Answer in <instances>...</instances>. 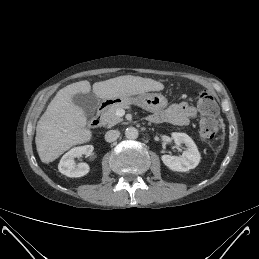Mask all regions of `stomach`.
<instances>
[{
    "mask_svg": "<svg viewBox=\"0 0 259 259\" xmlns=\"http://www.w3.org/2000/svg\"><path fill=\"white\" fill-rule=\"evenodd\" d=\"M108 106L136 104L150 112L163 110L167 106V99L160 93H141L137 96L127 95L105 99Z\"/></svg>",
    "mask_w": 259,
    "mask_h": 259,
    "instance_id": "obj_1",
    "label": "stomach"
}]
</instances>
